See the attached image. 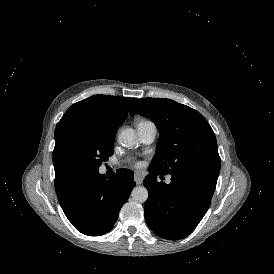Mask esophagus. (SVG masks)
<instances>
[{
	"instance_id": "esophagus-1",
	"label": "esophagus",
	"mask_w": 274,
	"mask_h": 274,
	"mask_svg": "<svg viewBox=\"0 0 274 274\" xmlns=\"http://www.w3.org/2000/svg\"><path fill=\"white\" fill-rule=\"evenodd\" d=\"M144 179V175L140 172H135L134 174V181L136 182V184H142Z\"/></svg>"
}]
</instances>
